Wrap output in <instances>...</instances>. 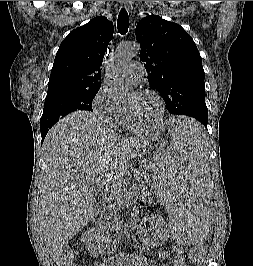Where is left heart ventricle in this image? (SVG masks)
I'll return each mask as SVG.
<instances>
[{"label": "left heart ventricle", "instance_id": "b2bd125f", "mask_svg": "<svg viewBox=\"0 0 253 266\" xmlns=\"http://www.w3.org/2000/svg\"><path fill=\"white\" fill-rule=\"evenodd\" d=\"M125 109L140 126H148L155 122L159 115L158 101L151 95H139L132 92L125 104Z\"/></svg>", "mask_w": 253, "mask_h": 266}]
</instances>
